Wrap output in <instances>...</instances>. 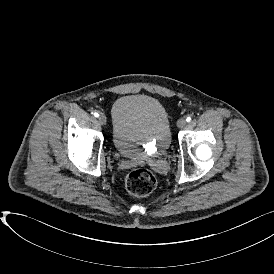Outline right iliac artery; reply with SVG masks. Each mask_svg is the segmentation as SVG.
<instances>
[{
	"mask_svg": "<svg viewBox=\"0 0 274 274\" xmlns=\"http://www.w3.org/2000/svg\"><path fill=\"white\" fill-rule=\"evenodd\" d=\"M95 117H99V113L98 112H94L93 113Z\"/></svg>",
	"mask_w": 274,
	"mask_h": 274,
	"instance_id": "right-iliac-artery-1",
	"label": "right iliac artery"
}]
</instances>
